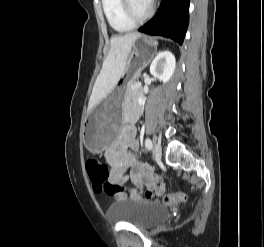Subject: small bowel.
<instances>
[{"label": "small bowel", "mask_w": 264, "mask_h": 247, "mask_svg": "<svg viewBox=\"0 0 264 247\" xmlns=\"http://www.w3.org/2000/svg\"><path fill=\"white\" fill-rule=\"evenodd\" d=\"M138 113L132 111L126 125L121 130L118 138L106 150L105 156L111 164L110 182L114 184H124L127 180V173L132 170L131 182L136 186L147 187L157 193L164 192V185L153 169L144 163L138 164L135 157L127 151L137 150L139 143L136 139L137 131L134 125ZM119 195L117 198H123Z\"/></svg>", "instance_id": "small-bowel-1"}]
</instances>
